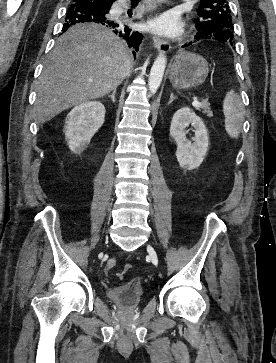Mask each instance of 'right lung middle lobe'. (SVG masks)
<instances>
[{
    "mask_svg": "<svg viewBox=\"0 0 276 363\" xmlns=\"http://www.w3.org/2000/svg\"><path fill=\"white\" fill-rule=\"evenodd\" d=\"M78 1H80V0H75V1H72V3H71V5H77L78 4ZM80 2H82V3H87V1H80ZM90 3V2H89ZM70 5V6H71ZM97 6L99 7V8H102L103 10H106V13H108L109 11V8L108 7H104V6H101V5H98L97 4Z\"/></svg>",
    "mask_w": 276,
    "mask_h": 363,
    "instance_id": "obj_1",
    "label": "right lung middle lobe"
}]
</instances>
